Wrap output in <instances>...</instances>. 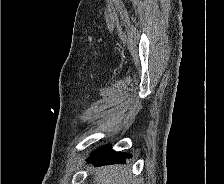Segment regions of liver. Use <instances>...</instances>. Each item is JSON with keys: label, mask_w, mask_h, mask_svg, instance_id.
I'll list each match as a JSON object with an SVG mask.
<instances>
[{"label": "liver", "mask_w": 224, "mask_h": 184, "mask_svg": "<svg viewBox=\"0 0 224 184\" xmlns=\"http://www.w3.org/2000/svg\"><path fill=\"white\" fill-rule=\"evenodd\" d=\"M129 170L124 166H105L95 169L96 184H131Z\"/></svg>", "instance_id": "obj_1"}]
</instances>
